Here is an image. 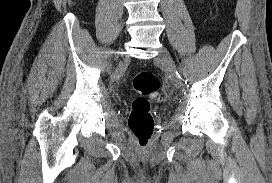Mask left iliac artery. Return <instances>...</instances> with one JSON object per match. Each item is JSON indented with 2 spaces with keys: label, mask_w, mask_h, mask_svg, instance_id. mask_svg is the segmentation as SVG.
<instances>
[{
  "label": "left iliac artery",
  "mask_w": 272,
  "mask_h": 183,
  "mask_svg": "<svg viewBox=\"0 0 272 183\" xmlns=\"http://www.w3.org/2000/svg\"><path fill=\"white\" fill-rule=\"evenodd\" d=\"M176 74L178 75L179 78H181L183 76L182 71L180 69H178V71H176Z\"/></svg>",
  "instance_id": "obj_1"
}]
</instances>
